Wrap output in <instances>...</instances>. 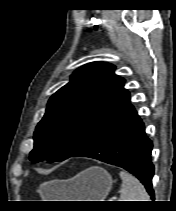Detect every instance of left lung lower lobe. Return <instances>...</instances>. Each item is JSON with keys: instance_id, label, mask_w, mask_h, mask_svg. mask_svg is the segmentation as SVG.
<instances>
[{"instance_id": "0a47b994", "label": "left lung lower lobe", "mask_w": 176, "mask_h": 211, "mask_svg": "<svg viewBox=\"0 0 176 211\" xmlns=\"http://www.w3.org/2000/svg\"><path fill=\"white\" fill-rule=\"evenodd\" d=\"M152 147L144 123L129 104L95 131L71 157L94 158L126 169L142 182L154 200Z\"/></svg>"}]
</instances>
